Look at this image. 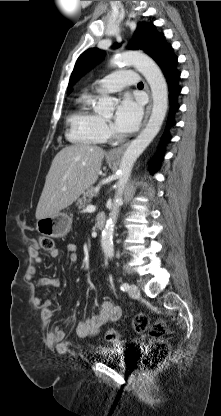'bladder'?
<instances>
[{
    "mask_svg": "<svg viewBox=\"0 0 221 416\" xmlns=\"http://www.w3.org/2000/svg\"><path fill=\"white\" fill-rule=\"evenodd\" d=\"M112 351L109 349L106 353L107 358L111 355ZM106 361L110 362L111 360L107 359Z\"/></svg>",
    "mask_w": 221,
    "mask_h": 416,
    "instance_id": "obj_1",
    "label": "bladder"
}]
</instances>
